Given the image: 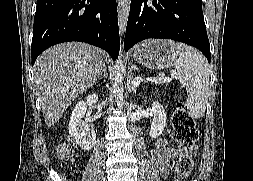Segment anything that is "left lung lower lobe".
<instances>
[{
  "instance_id": "obj_1",
  "label": "left lung lower lobe",
  "mask_w": 253,
  "mask_h": 181,
  "mask_svg": "<svg viewBox=\"0 0 253 181\" xmlns=\"http://www.w3.org/2000/svg\"><path fill=\"white\" fill-rule=\"evenodd\" d=\"M148 38L172 39L194 46L210 63L202 0H131L125 51Z\"/></svg>"
}]
</instances>
